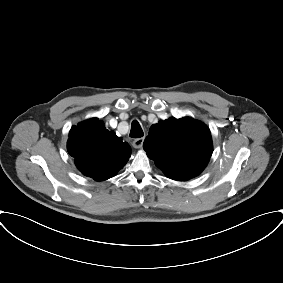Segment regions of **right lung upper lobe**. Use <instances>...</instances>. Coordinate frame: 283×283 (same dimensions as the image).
<instances>
[{"mask_svg":"<svg viewBox=\"0 0 283 283\" xmlns=\"http://www.w3.org/2000/svg\"><path fill=\"white\" fill-rule=\"evenodd\" d=\"M67 150L82 174L96 181L115 176L131 155L129 144L108 131L97 118L71 128Z\"/></svg>","mask_w":283,"mask_h":283,"instance_id":"cb5924a9","label":"right lung upper lobe"}]
</instances>
